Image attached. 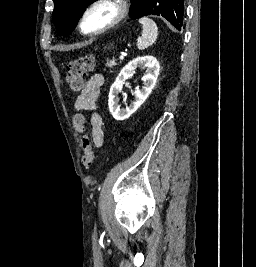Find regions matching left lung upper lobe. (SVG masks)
Wrapping results in <instances>:
<instances>
[{
	"label": "left lung upper lobe",
	"instance_id": "5c2ea615",
	"mask_svg": "<svg viewBox=\"0 0 256 267\" xmlns=\"http://www.w3.org/2000/svg\"><path fill=\"white\" fill-rule=\"evenodd\" d=\"M53 23L59 35L68 36L76 27L86 7L96 0H53ZM132 18L158 15L175 24V0H132Z\"/></svg>",
	"mask_w": 256,
	"mask_h": 267
}]
</instances>
